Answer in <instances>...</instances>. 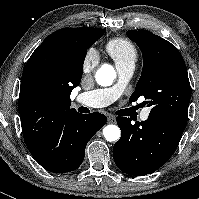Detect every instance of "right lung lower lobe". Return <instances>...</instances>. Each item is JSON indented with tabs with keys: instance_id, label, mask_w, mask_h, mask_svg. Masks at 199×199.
I'll list each match as a JSON object with an SVG mask.
<instances>
[{
	"instance_id": "98d812e1",
	"label": "right lung lower lobe",
	"mask_w": 199,
	"mask_h": 199,
	"mask_svg": "<svg viewBox=\"0 0 199 199\" xmlns=\"http://www.w3.org/2000/svg\"><path fill=\"white\" fill-rule=\"evenodd\" d=\"M107 121L100 113L67 115L56 132L26 146L33 158L46 170L66 173L76 170L84 159L88 141Z\"/></svg>"
}]
</instances>
